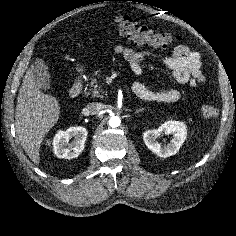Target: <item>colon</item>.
<instances>
[{
  "instance_id": "5ec220e1",
  "label": "colon",
  "mask_w": 236,
  "mask_h": 236,
  "mask_svg": "<svg viewBox=\"0 0 236 236\" xmlns=\"http://www.w3.org/2000/svg\"><path fill=\"white\" fill-rule=\"evenodd\" d=\"M114 26L119 33L139 44L169 47L179 42L177 37L168 33L158 32L125 15L116 16L114 18ZM201 113L205 119H212L218 115L219 110L215 104L209 102L202 106Z\"/></svg>"
}]
</instances>
